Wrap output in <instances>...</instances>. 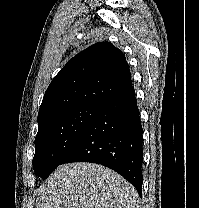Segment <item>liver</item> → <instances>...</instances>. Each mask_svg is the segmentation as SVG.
Listing matches in <instances>:
<instances>
[{"label":"liver","instance_id":"obj_1","mask_svg":"<svg viewBox=\"0 0 199 208\" xmlns=\"http://www.w3.org/2000/svg\"><path fill=\"white\" fill-rule=\"evenodd\" d=\"M36 208H139L135 188L94 163L60 165L37 192Z\"/></svg>","mask_w":199,"mask_h":208}]
</instances>
